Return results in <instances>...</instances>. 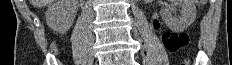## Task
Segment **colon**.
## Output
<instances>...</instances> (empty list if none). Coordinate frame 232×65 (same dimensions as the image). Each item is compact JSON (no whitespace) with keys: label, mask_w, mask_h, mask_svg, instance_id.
I'll return each mask as SVG.
<instances>
[{"label":"colon","mask_w":232,"mask_h":65,"mask_svg":"<svg viewBox=\"0 0 232 65\" xmlns=\"http://www.w3.org/2000/svg\"><path fill=\"white\" fill-rule=\"evenodd\" d=\"M198 3H204V0H197ZM162 41L165 48L170 52H175L183 47H185L189 38L184 33H165L162 36Z\"/></svg>","instance_id":"1"}]
</instances>
